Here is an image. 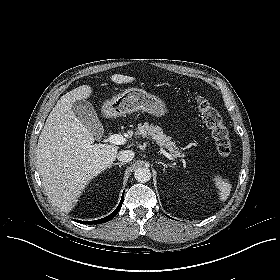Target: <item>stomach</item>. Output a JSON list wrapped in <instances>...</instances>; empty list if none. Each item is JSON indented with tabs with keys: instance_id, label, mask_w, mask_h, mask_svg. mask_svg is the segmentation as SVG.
<instances>
[{
	"instance_id": "0dacf381",
	"label": "stomach",
	"mask_w": 280,
	"mask_h": 280,
	"mask_svg": "<svg viewBox=\"0 0 280 280\" xmlns=\"http://www.w3.org/2000/svg\"><path fill=\"white\" fill-rule=\"evenodd\" d=\"M139 110L156 117L164 116L168 112L162 99L139 88L127 89L103 104V111L114 117Z\"/></svg>"
}]
</instances>
